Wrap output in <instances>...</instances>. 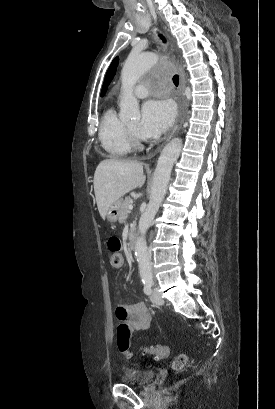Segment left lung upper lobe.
I'll return each mask as SVG.
<instances>
[{"instance_id": "left-lung-upper-lobe-1", "label": "left lung upper lobe", "mask_w": 275, "mask_h": 409, "mask_svg": "<svg viewBox=\"0 0 275 409\" xmlns=\"http://www.w3.org/2000/svg\"><path fill=\"white\" fill-rule=\"evenodd\" d=\"M118 59H119L118 57L114 58V60L112 61L111 65H110V67H109V69H108V71L106 73V77H105L103 87H102V91H101V96H103L106 93L107 88H108L110 82L112 81V79H113V77H114V75L116 73V68H117V65H118V62H119Z\"/></svg>"}]
</instances>
